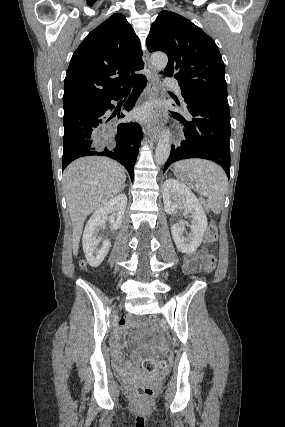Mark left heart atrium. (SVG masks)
Returning <instances> with one entry per match:
<instances>
[{
  "instance_id": "obj_1",
  "label": "left heart atrium",
  "mask_w": 285,
  "mask_h": 427,
  "mask_svg": "<svg viewBox=\"0 0 285 427\" xmlns=\"http://www.w3.org/2000/svg\"><path fill=\"white\" fill-rule=\"evenodd\" d=\"M150 114H151V110L148 107L137 108L133 112L134 118L138 120H146L147 118L150 117Z\"/></svg>"
}]
</instances>
